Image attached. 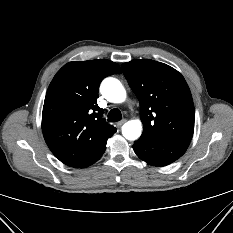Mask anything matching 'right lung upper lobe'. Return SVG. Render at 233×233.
<instances>
[{
	"label": "right lung upper lobe",
	"instance_id": "right-lung-upper-lobe-1",
	"mask_svg": "<svg viewBox=\"0 0 233 233\" xmlns=\"http://www.w3.org/2000/svg\"><path fill=\"white\" fill-rule=\"evenodd\" d=\"M120 73L115 62L100 59L69 62L54 76L44 101L42 132L62 163L85 168L104 153L116 128L101 118L98 88L105 77Z\"/></svg>",
	"mask_w": 233,
	"mask_h": 233
}]
</instances>
